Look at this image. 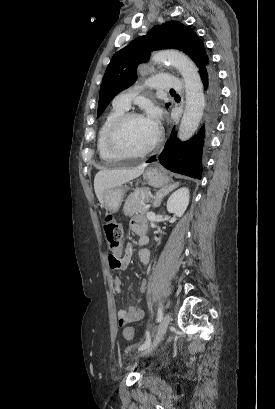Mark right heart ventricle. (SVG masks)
I'll return each mask as SVG.
<instances>
[{"label": "right heart ventricle", "instance_id": "obj_1", "mask_svg": "<svg viewBox=\"0 0 275 409\" xmlns=\"http://www.w3.org/2000/svg\"><path fill=\"white\" fill-rule=\"evenodd\" d=\"M125 111L126 110L122 108L113 106L112 110L102 123L97 138V148L100 157H111L107 149V137L114 121L123 115Z\"/></svg>", "mask_w": 275, "mask_h": 409}]
</instances>
